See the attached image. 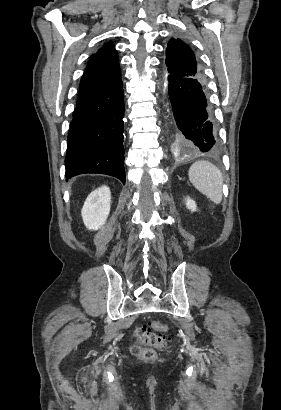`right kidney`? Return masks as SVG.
I'll return each instance as SVG.
<instances>
[{"label":"right kidney","mask_w":281,"mask_h":410,"mask_svg":"<svg viewBox=\"0 0 281 410\" xmlns=\"http://www.w3.org/2000/svg\"><path fill=\"white\" fill-rule=\"evenodd\" d=\"M111 192L109 187L101 186L92 191L81 210L83 222L89 230H98L106 222L110 213Z\"/></svg>","instance_id":"right-kidney-1"}]
</instances>
